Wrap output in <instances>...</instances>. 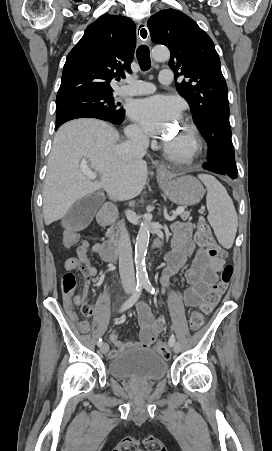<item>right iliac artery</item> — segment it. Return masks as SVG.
Returning a JSON list of instances; mask_svg holds the SVG:
<instances>
[{
  "label": "right iliac artery",
  "instance_id": "right-iliac-artery-1",
  "mask_svg": "<svg viewBox=\"0 0 272 451\" xmlns=\"http://www.w3.org/2000/svg\"><path fill=\"white\" fill-rule=\"evenodd\" d=\"M143 288H144V281L137 282L132 295L122 305L120 312L129 309L138 301V299L143 291ZM102 344H103V342H102V339L100 338L97 342V345H98V347H101Z\"/></svg>",
  "mask_w": 272,
  "mask_h": 451
}]
</instances>
